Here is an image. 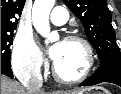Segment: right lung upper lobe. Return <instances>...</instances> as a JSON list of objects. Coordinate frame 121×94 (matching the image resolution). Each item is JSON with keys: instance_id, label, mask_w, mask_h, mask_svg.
<instances>
[{"instance_id": "cb5924a9", "label": "right lung upper lobe", "mask_w": 121, "mask_h": 94, "mask_svg": "<svg viewBox=\"0 0 121 94\" xmlns=\"http://www.w3.org/2000/svg\"><path fill=\"white\" fill-rule=\"evenodd\" d=\"M25 0H1V31H14Z\"/></svg>"}]
</instances>
